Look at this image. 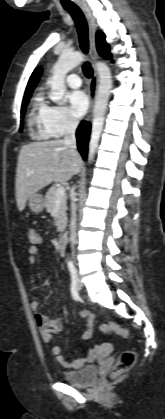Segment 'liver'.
Listing matches in <instances>:
<instances>
[{
    "label": "liver",
    "instance_id": "obj_1",
    "mask_svg": "<svg viewBox=\"0 0 165 419\" xmlns=\"http://www.w3.org/2000/svg\"><path fill=\"white\" fill-rule=\"evenodd\" d=\"M83 161L64 140L33 142L22 146L16 171V202L20 212L30 196L51 182H66L81 170Z\"/></svg>",
    "mask_w": 165,
    "mask_h": 419
}]
</instances>
